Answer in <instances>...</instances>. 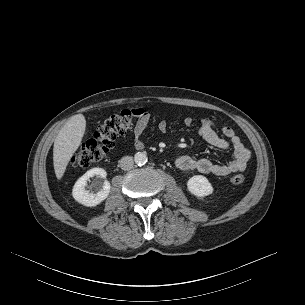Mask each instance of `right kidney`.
Returning <instances> with one entry per match:
<instances>
[{
  "label": "right kidney",
  "instance_id": "obj_1",
  "mask_svg": "<svg viewBox=\"0 0 305 305\" xmlns=\"http://www.w3.org/2000/svg\"><path fill=\"white\" fill-rule=\"evenodd\" d=\"M106 171L102 168H93L81 176L75 183L72 191L73 198L84 206L93 207L103 202L110 193V183L106 180ZM97 176L100 180L96 186L97 192L90 193L86 190L87 181Z\"/></svg>",
  "mask_w": 305,
  "mask_h": 305
}]
</instances>
